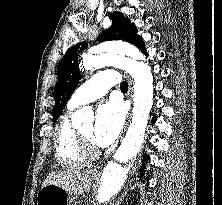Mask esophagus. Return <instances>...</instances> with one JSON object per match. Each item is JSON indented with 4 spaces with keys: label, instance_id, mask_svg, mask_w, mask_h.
<instances>
[{
    "label": "esophagus",
    "instance_id": "esophagus-1",
    "mask_svg": "<svg viewBox=\"0 0 222 205\" xmlns=\"http://www.w3.org/2000/svg\"><path fill=\"white\" fill-rule=\"evenodd\" d=\"M127 79H128V82H129V92H128V96H129V98H130V100H131V98H132V91H133L132 81H131V79H130L129 77H127Z\"/></svg>",
    "mask_w": 222,
    "mask_h": 205
}]
</instances>
